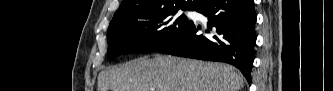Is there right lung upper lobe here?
Returning a JSON list of instances; mask_svg holds the SVG:
<instances>
[{
  "label": "right lung upper lobe",
  "mask_w": 333,
  "mask_h": 91,
  "mask_svg": "<svg viewBox=\"0 0 333 91\" xmlns=\"http://www.w3.org/2000/svg\"><path fill=\"white\" fill-rule=\"evenodd\" d=\"M205 0H122L111 23L124 22L139 17L171 10H196Z\"/></svg>",
  "instance_id": "cb5924a9"
}]
</instances>
